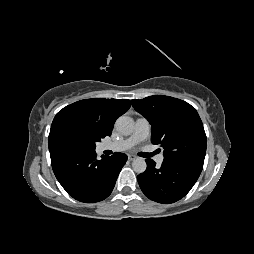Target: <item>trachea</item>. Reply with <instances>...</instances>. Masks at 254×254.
<instances>
[{"mask_svg": "<svg viewBox=\"0 0 254 254\" xmlns=\"http://www.w3.org/2000/svg\"><path fill=\"white\" fill-rule=\"evenodd\" d=\"M154 154H156V152H154V153H143L141 156H142V157H151V156H153Z\"/></svg>", "mask_w": 254, "mask_h": 254, "instance_id": "3493384b", "label": "trachea"}]
</instances>
